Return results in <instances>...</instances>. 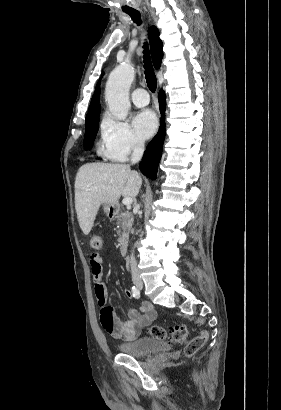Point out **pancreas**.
I'll list each match as a JSON object with an SVG mask.
<instances>
[{"label":"pancreas","mask_w":281,"mask_h":410,"mask_svg":"<svg viewBox=\"0 0 281 410\" xmlns=\"http://www.w3.org/2000/svg\"><path fill=\"white\" fill-rule=\"evenodd\" d=\"M117 234L119 235L118 241H121L123 238H126L131 230L133 223V216L130 212L124 211L123 207L117 206Z\"/></svg>","instance_id":"pancreas-1"}]
</instances>
